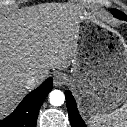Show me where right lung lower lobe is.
<instances>
[{
	"instance_id": "98d812e1",
	"label": "right lung lower lobe",
	"mask_w": 127,
	"mask_h": 127,
	"mask_svg": "<svg viewBox=\"0 0 127 127\" xmlns=\"http://www.w3.org/2000/svg\"><path fill=\"white\" fill-rule=\"evenodd\" d=\"M52 86L51 78L45 80L22 100L11 115L0 121V127H36L39 109Z\"/></svg>"
}]
</instances>
